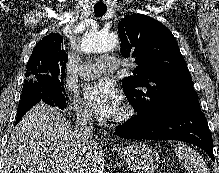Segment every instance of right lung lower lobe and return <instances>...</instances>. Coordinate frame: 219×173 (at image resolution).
Returning <instances> with one entry per match:
<instances>
[{"instance_id":"obj_1","label":"right lung lower lobe","mask_w":219,"mask_h":173,"mask_svg":"<svg viewBox=\"0 0 219 173\" xmlns=\"http://www.w3.org/2000/svg\"><path fill=\"white\" fill-rule=\"evenodd\" d=\"M40 101H43L51 106L57 107L60 110H64L66 107L65 104L58 103L55 99L43 93L33 92V93L22 95L17 109V119L15 125L21 120V118L30 108H32Z\"/></svg>"}]
</instances>
